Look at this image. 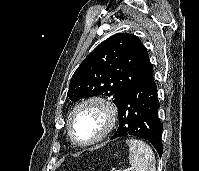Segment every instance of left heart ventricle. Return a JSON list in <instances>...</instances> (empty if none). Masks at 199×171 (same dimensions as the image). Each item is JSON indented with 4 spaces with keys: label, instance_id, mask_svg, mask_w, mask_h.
<instances>
[{
    "label": "left heart ventricle",
    "instance_id": "obj_1",
    "mask_svg": "<svg viewBox=\"0 0 199 171\" xmlns=\"http://www.w3.org/2000/svg\"><path fill=\"white\" fill-rule=\"evenodd\" d=\"M104 126V115L95 106L81 108L72 120L73 132L76 138L82 142H88L96 138Z\"/></svg>",
    "mask_w": 199,
    "mask_h": 171
}]
</instances>
